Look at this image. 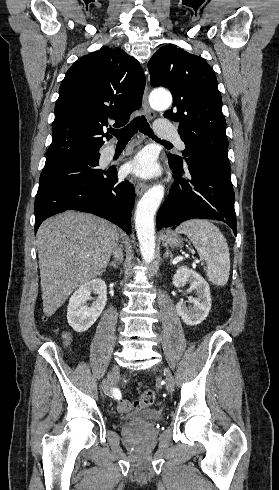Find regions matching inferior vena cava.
<instances>
[{"mask_svg":"<svg viewBox=\"0 0 279 490\" xmlns=\"http://www.w3.org/2000/svg\"><path fill=\"white\" fill-rule=\"evenodd\" d=\"M112 254L115 260H120V258H123L122 250L119 248L118 244H115Z\"/></svg>","mask_w":279,"mask_h":490,"instance_id":"inferior-vena-cava-1","label":"inferior vena cava"}]
</instances>
